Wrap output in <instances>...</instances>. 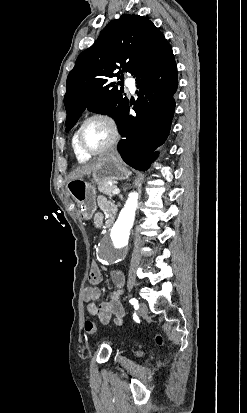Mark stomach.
<instances>
[{"label":"stomach","instance_id":"0dacf381","mask_svg":"<svg viewBox=\"0 0 247 413\" xmlns=\"http://www.w3.org/2000/svg\"><path fill=\"white\" fill-rule=\"evenodd\" d=\"M130 174L131 170L121 162V158L114 156V154H108V156H103L92 172L86 174V178L68 180L66 192L75 198L84 221H88V219H92L97 209L96 188L92 182H88V176H92L94 182L101 184L107 180L128 178Z\"/></svg>","mask_w":247,"mask_h":413}]
</instances>
